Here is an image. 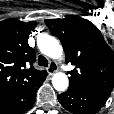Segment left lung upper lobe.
<instances>
[{"label": "left lung upper lobe", "mask_w": 114, "mask_h": 114, "mask_svg": "<svg viewBox=\"0 0 114 114\" xmlns=\"http://www.w3.org/2000/svg\"><path fill=\"white\" fill-rule=\"evenodd\" d=\"M65 51L66 63L75 65L69 86L110 95L114 87V52L90 21L78 16L47 19Z\"/></svg>", "instance_id": "5c2ea615"}]
</instances>
